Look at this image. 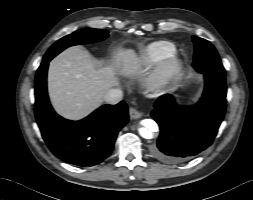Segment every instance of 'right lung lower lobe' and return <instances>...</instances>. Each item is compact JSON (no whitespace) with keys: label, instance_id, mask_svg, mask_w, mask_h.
I'll list each match as a JSON object with an SVG mask.
<instances>
[{"label":"right lung lower lobe","instance_id":"right-lung-lower-lobe-1","mask_svg":"<svg viewBox=\"0 0 253 200\" xmlns=\"http://www.w3.org/2000/svg\"><path fill=\"white\" fill-rule=\"evenodd\" d=\"M44 58L35 78V116L42 137L59 159L78 166H94L107 158L118 132L128 122V107L103 105L80 121L55 113L48 99L46 77L49 61Z\"/></svg>","mask_w":253,"mask_h":200}]
</instances>
